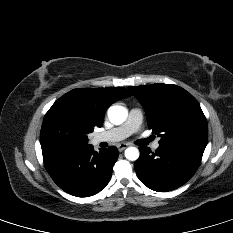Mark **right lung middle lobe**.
<instances>
[{
  "mask_svg": "<svg viewBox=\"0 0 233 233\" xmlns=\"http://www.w3.org/2000/svg\"><path fill=\"white\" fill-rule=\"evenodd\" d=\"M93 128L68 112L62 105H52L40 132L41 147L49 145L85 146Z\"/></svg>",
  "mask_w": 233,
  "mask_h": 233,
  "instance_id": "right-lung-middle-lobe-1",
  "label": "right lung middle lobe"
}]
</instances>
